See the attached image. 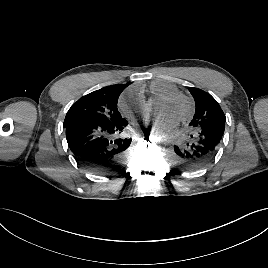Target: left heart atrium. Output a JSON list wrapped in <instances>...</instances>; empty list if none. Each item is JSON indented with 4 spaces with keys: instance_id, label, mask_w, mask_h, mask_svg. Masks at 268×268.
<instances>
[{
    "instance_id": "39dd6f15",
    "label": "left heart atrium",
    "mask_w": 268,
    "mask_h": 268,
    "mask_svg": "<svg viewBox=\"0 0 268 268\" xmlns=\"http://www.w3.org/2000/svg\"><path fill=\"white\" fill-rule=\"evenodd\" d=\"M177 123V120L169 114H160L153 120L155 127L160 129H169Z\"/></svg>"
}]
</instances>
